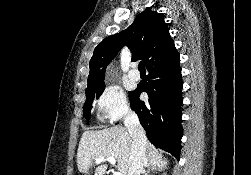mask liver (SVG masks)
<instances>
[{
	"label": "liver",
	"instance_id": "6515ba94",
	"mask_svg": "<svg viewBox=\"0 0 251 175\" xmlns=\"http://www.w3.org/2000/svg\"><path fill=\"white\" fill-rule=\"evenodd\" d=\"M149 165L166 167L168 161L159 153L152 143H146ZM132 137L127 127H107L98 131H84L78 145L77 167L80 173H88L94 165L95 157H116L117 167L123 175H127L130 167ZM94 175H103L107 163H96Z\"/></svg>",
	"mask_w": 251,
	"mask_h": 175
}]
</instances>
